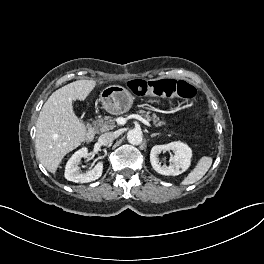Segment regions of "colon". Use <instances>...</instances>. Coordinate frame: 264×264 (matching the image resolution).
<instances>
[{"mask_svg": "<svg viewBox=\"0 0 264 264\" xmlns=\"http://www.w3.org/2000/svg\"><path fill=\"white\" fill-rule=\"evenodd\" d=\"M133 93L139 96H158L163 99L184 98L196 96L194 87L185 81L170 79L159 81L132 80L129 84Z\"/></svg>", "mask_w": 264, "mask_h": 264, "instance_id": "colon-1", "label": "colon"}]
</instances>
